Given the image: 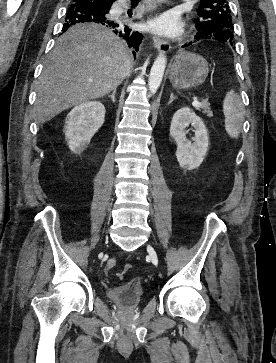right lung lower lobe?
I'll use <instances>...</instances> for the list:
<instances>
[{
  "label": "right lung lower lobe",
  "instance_id": "1",
  "mask_svg": "<svg viewBox=\"0 0 276 363\" xmlns=\"http://www.w3.org/2000/svg\"><path fill=\"white\" fill-rule=\"evenodd\" d=\"M65 20L66 23L63 26V32L76 23H99L112 29L116 35L126 40L128 46L135 49V51L139 50V45L143 39V35L138 31H133L121 22L111 20L107 16L106 10L99 8L95 2L82 3L78 1L77 5H71L68 8ZM133 54H135L134 51Z\"/></svg>",
  "mask_w": 276,
  "mask_h": 363
}]
</instances>
